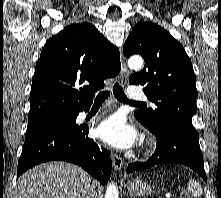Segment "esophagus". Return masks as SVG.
I'll return each instance as SVG.
<instances>
[{
	"label": "esophagus",
	"instance_id": "34e87169",
	"mask_svg": "<svg viewBox=\"0 0 221 198\" xmlns=\"http://www.w3.org/2000/svg\"><path fill=\"white\" fill-rule=\"evenodd\" d=\"M120 60H121V72H120V82L122 86H125L129 77V70L127 68L124 55L120 50ZM113 166L116 171H120L123 167L124 161L122 157L117 154L112 155Z\"/></svg>",
	"mask_w": 221,
	"mask_h": 198
}]
</instances>
